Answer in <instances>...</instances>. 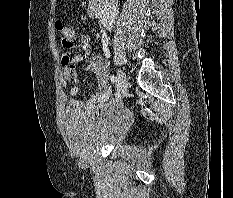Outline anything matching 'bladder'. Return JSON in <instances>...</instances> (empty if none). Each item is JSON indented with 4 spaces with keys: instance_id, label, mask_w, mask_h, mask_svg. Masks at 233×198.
Returning a JSON list of instances; mask_svg holds the SVG:
<instances>
[{
    "instance_id": "obj_1",
    "label": "bladder",
    "mask_w": 233,
    "mask_h": 198,
    "mask_svg": "<svg viewBox=\"0 0 233 198\" xmlns=\"http://www.w3.org/2000/svg\"><path fill=\"white\" fill-rule=\"evenodd\" d=\"M132 120L131 112L123 105L109 103L90 112L68 110L62 128L68 144L85 154L98 147L119 144Z\"/></svg>"
}]
</instances>
